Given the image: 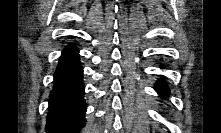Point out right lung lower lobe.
Returning <instances> with one entry per match:
<instances>
[{"label": "right lung lower lobe", "instance_id": "98d812e1", "mask_svg": "<svg viewBox=\"0 0 221 133\" xmlns=\"http://www.w3.org/2000/svg\"><path fill=\"white\" fill-rule=\"evenodd\" d=\"M78 53L74 46L62 52L49 97L47 133H79L85 125L83 69Z\"/></svg>", "mask_w": 221, "mask_h": 133}]
</instances>
